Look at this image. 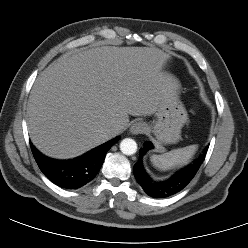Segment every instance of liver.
<instances>
[{"instance_id": "1", "label": "liver", "mask_w": 248, "mask_h": 248, "mask_svg": "<svg viewBox=\"0 0 248 248\" xmlns=\"http://www.w3.org/2000/svg\"><path fill=\"white\" fill-rule=\"evenodd\" d=\"M168 59L149 47L65 53L31 90L27 116L33 144L50 157L73 158L114 137L108 129L123 132L129 115L154 114L172 92L162 71Z\"/></svg>"}]
</instances>
